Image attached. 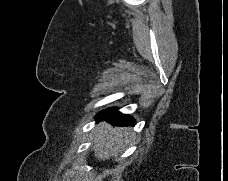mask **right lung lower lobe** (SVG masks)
Returning <instances> with one entry per match:
<instances>
[{"mask_svg":"<svg viewBox=\"0 0 228 181\" xmlns=\"http://www.w3.org/2000/svg\"><path fill=\"white\" fill-rule=\"evenodd\" d=\"M96 117L98 120H106L112 123V125L123 126L125 124L132 125L135 123V120L131 116L121 114L117 111V108L103 110Z\"/></svg>","mask_w":228,"mask_h":181,"instance_id":"right-lung-lower-lobe-1","label":"right lung lower lobe"}]
</instances>
